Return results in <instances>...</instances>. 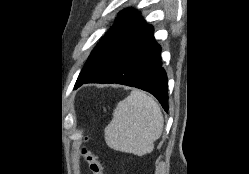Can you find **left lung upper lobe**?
Here are the masks:
<instances>
[{
  "label": "left lung upper lobe",
  "mask_w": 249,
  "mask_h": 174,
  "mask_svg": "<svg viewBox=\"0 0 249 174\" xmlns=\"http://www.w3.org/2000/svg\"><path fill=\"white\" fill-rule=\"evenodd\" d=\"M147 24L140 13L134 9L122 11L114 25L96 45L85 63L79 78H89L104 67L119 48Z\"/></svg>",
  "instance_id": "left-lung-upper-lobe-1"
}]
</instances>
